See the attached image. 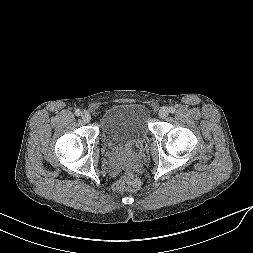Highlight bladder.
Here are the masks:
<instances>
[{
    "mask_svg": "<svg viewBox=\"0 0 253 253\" xmlns=\"http://www.w3.org/2000/svg\"><path fill=\"white\" fill-rule=\"evenodd\" d=\"M148 108L141 103H119L105 112L100 133L109 150H127L142 145L149 136Z\"/></svg>",
    "mask_w": 253,
    "mask_h": 253,
    "instance_id": "1",
    "label": "bladder"
}]
</instances>
